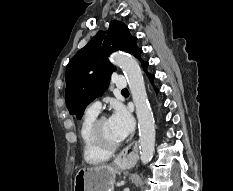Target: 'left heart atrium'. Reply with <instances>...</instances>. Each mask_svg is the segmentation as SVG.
I'll return each mask as SVG.
<instances>
[{
  "instance_id": "obj_1",
  "label": "left heart atrium",
  "mask_w": 233,
  "mask_h": 191,
  "mask_svg": "<svg viewBox=\"0 0 233 191\" xmlns=\"http://www.w3.org/2000/svg\"><path fill=\"white\" fill-rule=\"evenodd\" d=\"M109 121L120 141L125 139L134 128L133 118L123 107L116 108Z\"/></svg>"
}]
</instances>
